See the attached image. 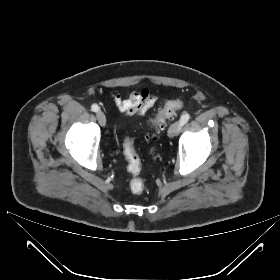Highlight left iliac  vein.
<instances>
[{
  "mask_svg": "<svg viewBox=\"0 0 280 280\" xmlns=\"http://www.w3.org/2000/svg\"><path fill=\"white\" fill-rule=\"evenodd\" d=\"M181 124L180 122H174L168 129V136L170 138L174 137L180 130Z\"/></svg>",
  "mask_w": 280,
  "mask_h": 280,
  "instance_id": "4c4485c4",
  "label": "left iliac vein"
}]
</instances>
